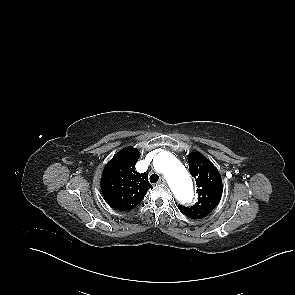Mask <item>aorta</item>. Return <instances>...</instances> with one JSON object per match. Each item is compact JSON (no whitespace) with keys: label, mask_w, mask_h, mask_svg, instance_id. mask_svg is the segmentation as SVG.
<instances>
[{"label":"aorta","mask_w":295,"mask_h":295,"mask_svg":"<svg viewBox=\"0 0 295 295\" xmlns=\"http://www.w3.org/2000/svg\"><path fill=\"white\" fill-rule=\"evenodd\" d=\"M154 161L176 199L182 204L190 203L193 199V183L183 164L174 155L165 151L160 152Z\"/></svg>","instance_id":"1"}]
</instances>
